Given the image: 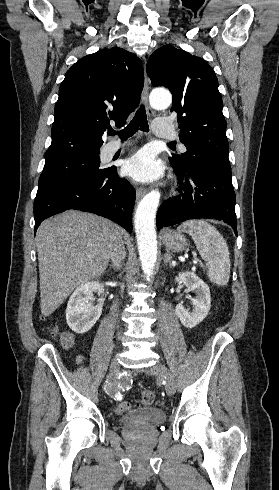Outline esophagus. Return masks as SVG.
I'll return each mask as SVG.
<instances>
[{"instance_id": "1", "label": "esophagus", "mask_w": 279, "mask_h": 490, "mask_svg": "<svg viewBox=\"0 0 279 490\" xmlns=\"http://www.w3.org/2000/svg\"><path fill=\"white\" fill-rule=\"evenodd\" d=\"M149 89H150L149 80H148V77H147L146 72H145L144 88L142 91V101L146 105L148 115L152 116V115H154V111L148 105ZM144 195H145V189L137 188V190H136V201L138 202Z\"/></svg>"}]
</instances>
